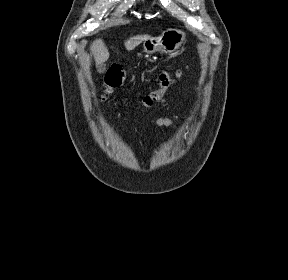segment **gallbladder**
Listing matches in <instances>:
<instances>
[{"label":"gallbladder","instance_id":"gallbladder-1","mask_svg":"<svg viewBox=\"0 0 288 280\" xmlns=\"http://www.w3.org/2000/svg\"><path fill=\"white\" fill-rule=\"evenodd\" d=\"M97 70L99 73H104L106 71V65L105 64H98Z\"/></svg>","mask_w":288,"mask_h":280}]
</instances>
